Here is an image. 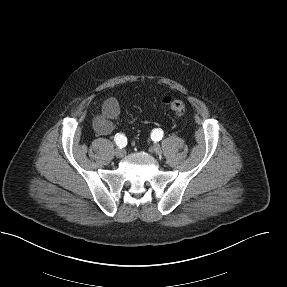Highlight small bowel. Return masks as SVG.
<instances>
[{"label": "small bowel", "mask_w": 287, "mask_h": 287, "mask_svg": "<svg viewBox=\"0 0 287 287\" xmlns=\"http://www.w3.org/2000/svg\"><path fill=\"white\" fill-rule=\"evenodd\" d=\"M120 114V102L116 98L107 99L101 112L93 119V128L99 135H109L116 128Z\"/></svg>", "instance_id": "1"}]
</instances>
